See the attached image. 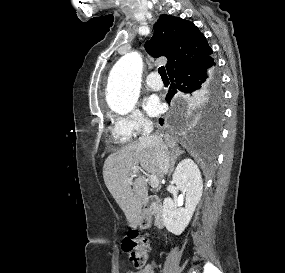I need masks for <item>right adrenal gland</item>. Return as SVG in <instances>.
<instances>
[{
	"instance_id": "obj_1",
	"label": "right adrenal gland",
	"mask_w": 285,
	"mask_h": 273,
	"mask_svg": "<svg viewBox=\"0 0 285 273\" xmlns=\"http://www.w3.org/2000/svg\"><path fill=\"white\" fill-rule=\"evenodd\" d=\"M184 153V151L180 150L179 148L177 149H173L172 152H171V168H170V171H169V175L173 172L174 170V165H175V162L177 160V158L182 155Z\"/></svg>"
}]
</instances>
